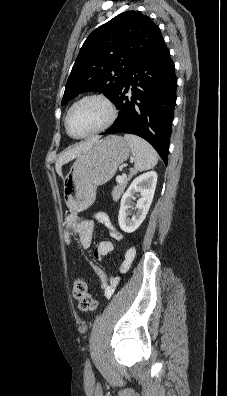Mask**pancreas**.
Here are the masks:
<instances>
[{
  "instance_id": "1",
  "label": "pancreas",
  "mask_w": 227,
  "mask_h": 396,
  "mask_svg": "<svg viewBox=\"0 0 227 396\" xmlns=\"http://www.w3.org/2000/svg\"><path fill=\"white\" fill-rule=\"evenodd\" d=\"M129 179L130 178H124L122 182H119L118 185L114 187L112 191V197L114 201H117L121 197L122 193L124 192V189L127 186Z\"/></svg>"
}]
</instances>
